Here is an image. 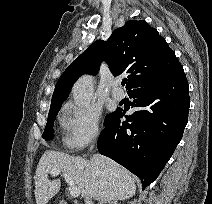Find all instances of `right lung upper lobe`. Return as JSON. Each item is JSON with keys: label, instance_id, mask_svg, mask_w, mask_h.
<instances>
[{"label": "right lung upper lobe", "instance_id": "right-lung-upper-lobe-1", "mask_svg": "<svg viewBox=\"0 0 212 204\" xmlns=\"http://www.w3.org/2000/svg\"><path fill=\"white\" fill-rule=\"evenodd\" d=\"M103 60L108 62L114 76L129 74L128 92L182 69L173 50L156 29L144 20H130L116 29L107 42H94L69 65L57 81L51 106L61 105L74 82L82 74H95Z\"/></svg>", "mask_w": 212, "mask_h": 204}]
</instances>
